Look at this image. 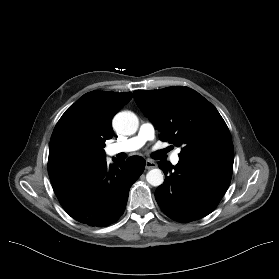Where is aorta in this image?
Returning <instances> with one entry per match:
<instances>
[{
    "instance_id": "aorta-1",
    "label": "aorta",
    "mask_w": 279,
    "mask_h": 279,
    "mask_svg": "<svg viewBox=\"0 0 279 279\" xmlns=\"http://www.w3.org/2000/svg\"><path fill=\"white\" fill-rule=\"evenodd\" d=\"M114 129L122 135H133L139 126L137 116L130 111L119 112L113 119ZM147 182L155 187L163 184L164 177L160 169H152L146 174Z\"/></svg>"
}]
</instances>
